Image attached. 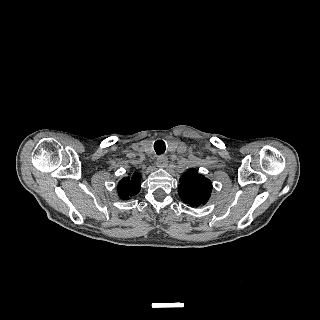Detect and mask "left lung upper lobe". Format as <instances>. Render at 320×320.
Returning <instances> with one entry per match:
<instances>
[{"label": "left lung upper lobe", "mask_w": 320, "mask_h": 320, "mask_svg": "<svg viewBox=\"0 0 320 320\" xmlns=\"http://www.w3.org/2000/svg\"><path fill=\"white\" fill-rule=\"evenodd\" d=\"M178 193L185 204L192 207L205 205L212 191V183L194 168L184 173L180 178Z\"/></svg>", "instance_id": "obj_1"}]
</instances>
